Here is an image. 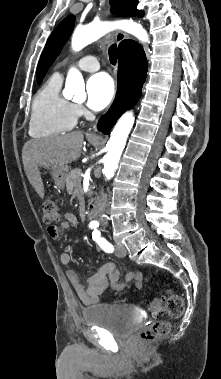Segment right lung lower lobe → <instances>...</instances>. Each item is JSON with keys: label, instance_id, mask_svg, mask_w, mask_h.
Listing matches in <instances>:
<instances>
[{"label": "right lung lower lobe", "instance_id": "98d812e1", "mask_svg": "<svg viewBox=\"0 0 221 379\" xmlns=\"http://www.w3.org/2000/svg\"><path fill=\"white\" fill-rule=\"evenodd\" d=\"M147 68L142 47L135 41L124 40L119 45L116 97L109 111L99 120L98 129L104 134H109L117 119L139 100Z\"/></svg>", "mask_w": 221, "mask_h": 379}]
</instances>
